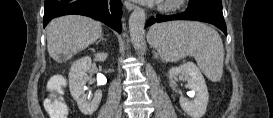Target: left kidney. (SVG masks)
<instances>
[{
	"label": "left kidney",
	"mask_w": 273,
	"mask_h": 118,
	"mask_svg": "<svg viewBox=\"0 0 273 118\" xmlns=\"http://www.w3.org/2000/svg\"><path fill=\"white\" fill-rule=\"evenodd\" d=\"M179 74L187 77V87L194 92L193 100H188L183 96L180 97L181 108L192 118H201L206 112L209 100L205 79L193 62H187L169 70V76L172 79Z\"/></svg>",
	"instance_id": "left-kidney-1"
}]
</instances>
